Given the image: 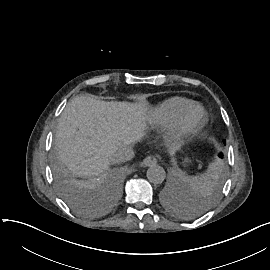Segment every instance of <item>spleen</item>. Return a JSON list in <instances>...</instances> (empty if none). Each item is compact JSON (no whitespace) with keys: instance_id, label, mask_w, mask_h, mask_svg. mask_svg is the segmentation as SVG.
<instances>
[{"instance_id":"obj_1","label":"spleen","mask_w":270,"mask_h":270,"mask_svg":"<svg viewBox=\"0 0 270 270\" xmlns=\"http://www.w3.org/2000/svg\"><path fill=\"white\" fill-rule=\"evenodd\" d=\"M215 182L218 181V174L216 173L215 174V179H214ZM188 182L191 184V185H196L197 183L194 181V180H189L188 179Z\"/></svg>"}]
</instances>
